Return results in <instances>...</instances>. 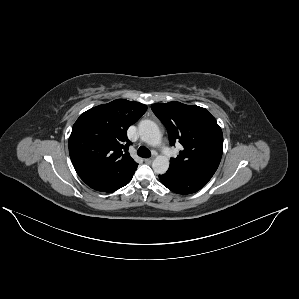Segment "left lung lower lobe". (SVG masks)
<instances>
[{
    "label": "left lung lower lobe",
    "instance_id": "left-lung-lower-lobe-1",
    "mask_svg": "<svg viewBox=\"0 0 299 299\" xmlns=\"http://www.w3.org/2000/svg\"><path fill=\"white\" fill-rule=\"evenodd\" d=\"M213 174L204 172L175 173L167 171L159 175L162 184L178 194H191L200 190Z\"/></svg>",
    "mask_w": 299,
    "mask_h": 299
}]
</instances>
